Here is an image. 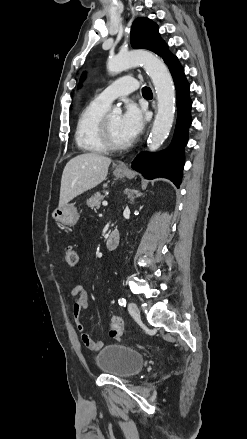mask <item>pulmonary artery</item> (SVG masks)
Masks as SVG:
<instances>
[{
    "label": "pulmonary artery",
    "instance_id": "e3ab8cb5",
    "mask_svg": "<svg viewBox=\"0 0 247 439\" xmlns=\"http://www.w3.org/2000/svg\"><path fill=\"white\" fill-rule=\"evenodd\" d=\"M138 88V82L133 77H122L108 86L96 99L106 105H110L116 98L127 96Z\"/></svg>",
    "mask_w": 247,
    "mask_h": 439
}]
</instances>
